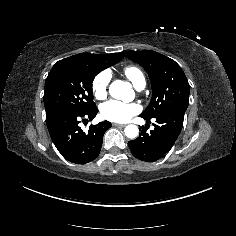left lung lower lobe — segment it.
<instances>
[{
	"instance_id": "0a47b994",
	"label": "left lung lower lobe",
	"mask_w": 236,
	"mask_h": 236,
	"mask_svg": "<svg viewBox=\"0 0 236 236\" xmlns=\"http://www.w3.org/2000/svg\"><path fill=\"white\" fill-rule=\"evenodd\" d=\"M186 109L173 107L152 118H144L147 123H153L154 130L150 133L142 127L139 137L128 142V146L137 159L155 162L165 156L177 140L182 127Z\"/></svg>"
}]
</instances>
